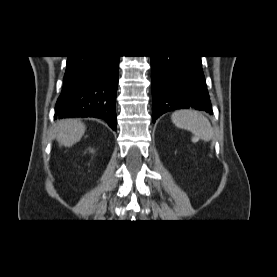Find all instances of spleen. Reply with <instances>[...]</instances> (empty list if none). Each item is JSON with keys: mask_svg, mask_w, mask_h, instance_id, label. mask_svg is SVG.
<instances>
[{"mask_svg": "<svg viewBox=\"0 0 277 277\" xmlns=\"http://www.w3.org/2000/svg\"><path fill=\"white\" fill-rule=\"evenodd\" d=\"M171 120L177 127L189 130L194 135V140L209 141L213 138V128L200 112L179 110L172 114Z\"/></svg>", "mask_w": 277, "mask_h": 277, "instance_id": "1", "label": "spleen"}]
</instances>
